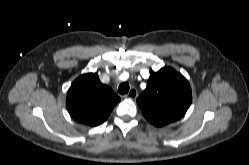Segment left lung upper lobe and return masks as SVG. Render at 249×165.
<instances>
[{"mask_svg":"<svg viewBox=\"0 0 249 165\" xmlns=\"http://www.w3.org/2000/svg\"><path fill=\"white\" fill-rule=\"evenodd\" d=\"M192 101L189 82L171 67L150 74L147 87L137 104L144 117L157 127L180 119Z\"/></svg>","mask_w":249,"mask_h":165,"instance_id":"left-lung-upper-lobe-1","label":"left lung upper lobe"}]
</instances>
